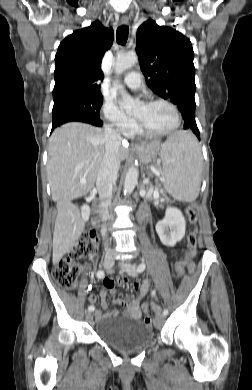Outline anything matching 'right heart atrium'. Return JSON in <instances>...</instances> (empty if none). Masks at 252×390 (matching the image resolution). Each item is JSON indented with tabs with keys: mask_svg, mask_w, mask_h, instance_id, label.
Wrapping results in <instances>:
<instances>
[{
	"mask_svg": "<svg viewBox=\"0 0 252 390\" xmlns=\"http://www.w3.org/2000/svg\"><path fill=\"white\" fill-rule=\"evenodd\" d=\"M102 111L108 125L115 129L119 134L128 137L134 133L135 121L127 116L116 103L106 101Z\"/></svg>",
	"mask_w": 252,
	"mask_h": 390,
	"instance_id": "1",
	"label": "right heart atrium"
}]
</instances>
